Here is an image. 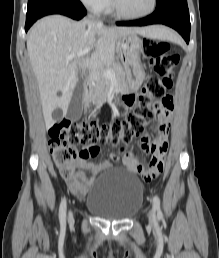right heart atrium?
I'll return each instance as SVG.
<instances>
[{"instance_id":"obj_1","label":"right heart atrium","mask_w":219,"mask_h":258,"mask_svg":"<svg viewBox=\"0 0 219 258\" xmlns=\"http://www.w3.org/2000/svg\"><path fill=\"white\" fill-rule=\"evenodd\" d=\"M80 1L86 8L90 9L94 13H99L104 11L110 3V0H80Z\"/></svg>"}]
</instances>
